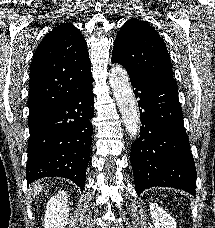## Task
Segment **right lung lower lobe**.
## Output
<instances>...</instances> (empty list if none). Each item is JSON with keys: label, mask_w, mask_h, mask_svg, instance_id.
<instances>
[{"label": "right lung lower lobe", "mask_w": 215, "mask_h": 228, "mask_svg": "<svg viewBox=\"0 0 215 228\" xmlns=\"http://www.w3.org/2000/svg\"><path fill=\"white\" fill-rule=\"evenodd\" d=\"M92 74L69 84L67 96L28 119L27 185L43 177H64L84 189L90 158L94 95Z\"/></svg>", "instance_id": "1"}]
</instances>
